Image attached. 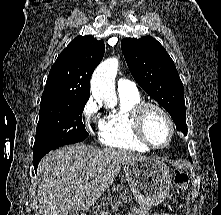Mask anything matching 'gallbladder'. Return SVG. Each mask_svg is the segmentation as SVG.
<instances>
[{
  "mask_svg": "<svg viewBox=\"0 0 221 215\" xmlns=\"http://www.w3.org/2000/svg\"><path fill=\"white\" fill-rule=\"evenodd\" d=\"M66 215H79V213L74 208H71Z\"/></svg>",
  "mask_w": 221,
  "mask_h": 215,
  "instance_id": "obj_1",
  "label": "gallbladder"
}]
</instances>
